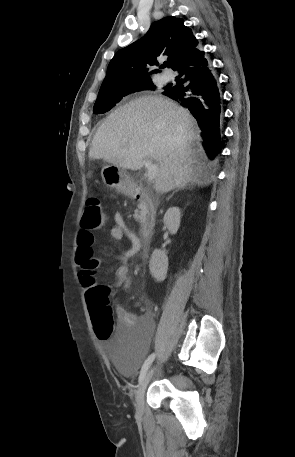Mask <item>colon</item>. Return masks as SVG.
Here are the masks:
<instances>
[{"label":"colon","mask_w":295,"mask_h":457,"mask_svg":"<svg viewBox=\"0 0 295 457\" xmlns=\"http://www.w3.org/2000/svg\"><path fill=\"white\" fill-rule=\"evenodd\" d=\"M106 217L102 203L98 197L87 199L81 225L84 229L99 230L105 226ZM77 263L80 266L79 275L86 285V300L94 330L98 338L108 339L113 331L112 308L109 304V291L94 283V266L87 257L79 256Z\"/></svg>","instance_id":"obj_1"}]
</instances>
